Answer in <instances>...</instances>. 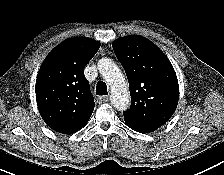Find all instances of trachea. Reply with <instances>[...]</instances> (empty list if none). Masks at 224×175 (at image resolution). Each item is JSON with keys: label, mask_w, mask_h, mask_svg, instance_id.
Listing matches in <instances>:
<instances>
[{"label": "trachea", "mask_w": 224, "mask_h": 175, "mask_svg": "<svg viewBox=\"0 0 224 175\" xmlns=\"http://www.w3.org/2000/svg\"><path fill=\"white\" fill-rule=\"evenodd\" d=\"M96 94L97 95H107V85L104 82H99L96 86Z\"/></svg>", "instance_id": "obj_1"}]
</instances>
